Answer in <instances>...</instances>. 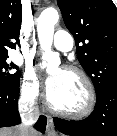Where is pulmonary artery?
<instances>
[{
	"label": "pulmonary artery",
	"instance_id": "obj_1",
	"mask_svg": "<svg viewBox=\"0 0 117 136\" xmlns=\"http://www.w3.org/2000/svg\"><path fill=\"white\" fill-rule=\"evenodd\" d=\"M53 46L61 52H68L73 47V37L70 33L59 30L54 35Z\"/></svg>",
	"mask_w": 117,
	"mask_h": 136
}]
</instances>
